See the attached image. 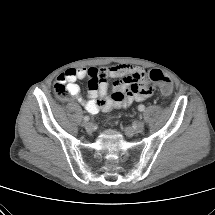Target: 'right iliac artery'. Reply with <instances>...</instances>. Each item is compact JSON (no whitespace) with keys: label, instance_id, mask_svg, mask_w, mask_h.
Here are the masks:
<instances>
[{"label":"right iliac artery","instance_id":"right-iliac-artery-1","mask_svg":"<svg viewBox=\"0 0 215 215\" xmlns=\"http://www.w3.org/2000/svg\"><path fill=\"white\" fill-rule=\"evenodd\" d=\"M89 119H90L89 116H85V117H84V120H85V121H89Z\"/></svg>","mask_w":215,"mask_h":215}]
</instances>
